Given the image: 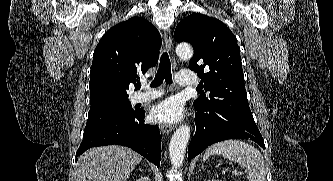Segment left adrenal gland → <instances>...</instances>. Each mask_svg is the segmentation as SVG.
Instances as JSON below:
<instances>
[{"label": "left adrenal gland", "mask_w": 333, "mask_h": 181, "mask_svg": "<svg viewBox=\"0 0 333 181\" xmlns=\"http://www.w3.org/2000/svg\"><path fill=\"white\" fill-rule=\"evenodd\" d=\"M201 169H204V166H202ZM201 169H199V170H201Z\"/></svg>", "instance_id": "obj_1"}]
</instances>
